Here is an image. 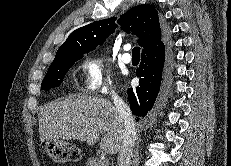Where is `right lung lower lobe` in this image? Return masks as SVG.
Listing matches in <instances>:
<instances>
[{
  "instance_id": "obj_1",
  "label": "right lung lower lobe",
  "mask_w": 231,
  "mask_h": 166,
  "mask_svg": "<svg viewBox=\"0 0 231 166\" xmlns=\"http://www.w3.org/2000/svg\"><path fill=\"white\" fill-rule=\"evenodd\" d=\"M168 43H162L154 51L143 54L136 75L140 78L139 87L128 88V100L132 112L138 117H144L151 110L160 91L162 71L165 62V52Z\"/></svg>"
}]
</instances>
